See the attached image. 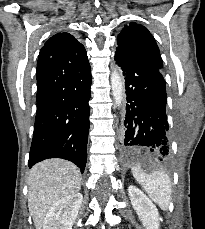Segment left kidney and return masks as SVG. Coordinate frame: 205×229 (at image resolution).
<instances>
[{
	"label": "left kidney",
	"mask_w": 205,
	"mask_h": 229,
	"mask_svg": "<svg viewBox=\"0 0 205 229\" xmlns=\"http://www.w3.org/2000/svg\"><path fill=\"white\" fill-rule=\"evenodd\" d=\"M132 206L146 229H159V213L152 201L136 186L128 187Z\"/></svg>",
	"instance_id": "1"
}]
</instances>
